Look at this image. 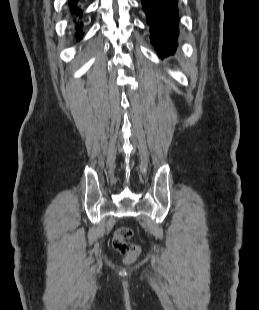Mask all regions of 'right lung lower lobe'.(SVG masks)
Listing matches in <instances>:
<instances>
[{
	"label": "right lung lower lobe",
	"mask_w": 259,
	"mask_h": 310,
	"mask_svg": "<svg viewBox=\"0 0 259 310\" xmlns=\"http://www.w3.org/2000/svg\"><path fill=\"white\" fill-rule=\"evenodd\" d=\"M77 2L78 0H70V11L72 15H76L80 17L81 14V10L79 9V7L77 6ZM75 26H76V36H78L79 38H82V34H81V30H82V23H80L79 21L75 22Z\"/></svg>",
	"instance_id": "obj_1"
}]
</instances>
